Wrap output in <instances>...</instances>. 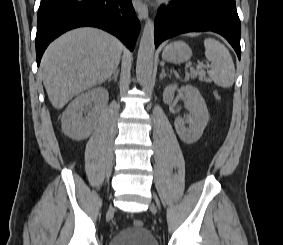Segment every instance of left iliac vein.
<instances>
[{"label": "left iliac vein", "instance_id": "left-iliac-vein-1", "mask_svg": "<svg viewBox=\"0 0 283 245\" xmlns=\"http://www.w3.org/2000/svg\"><path fill=\"white\" fill-rule=\"evenodd\" d=\"M156 203H157V207L160 209V203L158 200H156Z\"/></svg>", "mask_w": 283, "mask_h": 245}]
</instances>
